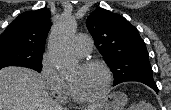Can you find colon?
Here are the masks:
<instances>
[{
	"mask_svg": "<svg viewBox=\"0 0 171 110\" xmlns=\"http://www.w3.org/2000/svg\"><path fill=\"white\" fill-rule=\"evenodd\" d=\"M130 110H135L134 108H131Z\"/></svg>",
	"mask_w": 171,
	"mask_h": 110,
	"instance_id": "colon-1",
	"label": "colon"
}]
</instances>
